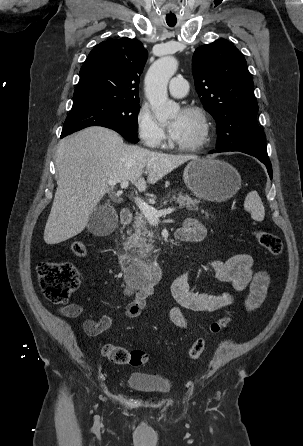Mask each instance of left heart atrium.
I'll list each match as a JSON object with an SVG mask.
<instances>
[{"label": "left heart atrium", "instance_id": "39dd6f15", "mask_svg": "<svg viewBox=\"0 0 303 446\" xmlns=\"http://www.w3.org/2000/svg\"><path fill=\"white\" fill-rule=\"evenodd\" d=\"M180 126H181V120L179 118L170 123L169 132L173 139L176 138L177 135L179 134Z\"/></svg>", "mask_w": 303, "mask_h": 446}]
</instances>
